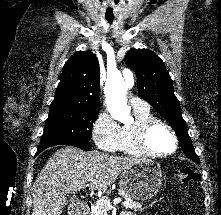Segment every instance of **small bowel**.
<instances>
[{"mask_svg":"<svg viewBox=\"0 0 221 215\" xmlns=\"http://www.w3.org/2000/svg\"><path fill=\"white\" fill-rule=\"evenodd\" d=\"M121 215H134V214H132L130 212H123ZM154 215H157V214H154Z\"/></svg>","mask_w":221,"mask_h":215,"instance_id":"c3829d8e","label":"small bowel"}]
</instances>
